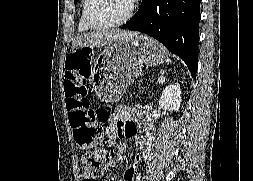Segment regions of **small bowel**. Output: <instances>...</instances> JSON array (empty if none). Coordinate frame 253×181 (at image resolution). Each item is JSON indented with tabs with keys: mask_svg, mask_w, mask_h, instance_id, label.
Returning <instances> with one entry per match:
<instances>
[{
	"mask_svg": "<svg viewBox=\"0 0 253 181\" xmlns=\"http://www.w3.org/2000/svg\"><path fill=\"white\" fill-rule=\"evenodd\" d=\"M80 63H79V72L82 75L80 80L81 84H84V81L88 77V74L91 69V62L88 53H80L79 54ZM135 117V112L133 109L129 107H119L117 108L109 121V129L108 135L110 138L116 139L119 137H135L138 135V128L136 124L133 122ZM141 156L137 154L135 156V164L131 166L125 173L124 177L120 181H134L137 166L136 164L140 161ZM113 163H110L108 167H111ZM82 181H94L92 174L84 170L81 173Z\"/></svg>",
	"mask_w": 253,
	"mask_h": 181,
	"instance_id": "obj_1",
	"label": "small bowel"
}]
</instances>
